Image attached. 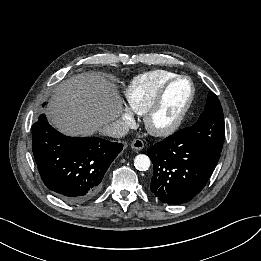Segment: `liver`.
Instances as JSON below:
<instances>
[{"instance_id":"1","label":"liver","mask_w":261,"mask_h":261,"mask_svg":"<svg viewBox=\"0 0 261 261\" xmlns=\"http://www.w3.org/2000/svg\"><path fill=\"white\" fill-rule=\"evenodd\" d=\"M122 103L114 84L99 73H81L62 81L51 95V125L72 136H88L114 121Z\"/></svg>"}]
</instances>
